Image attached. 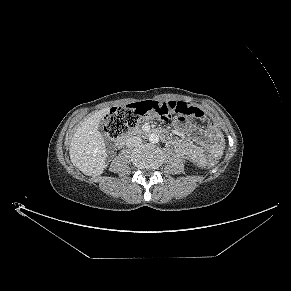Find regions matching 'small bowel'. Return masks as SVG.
I'll return each mask as SVG.
<instances>
[{
	"instance_id": "obj_1",
	"label": "small bowel",
	"mask_w": 291,
	"mask_h": 291,
	"mask_svg": "<svg viewBox=\"0 0 291 291\" xmlns=\"http://www.w3.org/2000/svg\"><path fill=\"white\" fill-rule=\"evenodd\" d=\"M175 131L182 137L174 142L177 153L193 164L204 167L207 164L206 151L210 158H219L223 152V137L218 128L209 125L196 137V142L187 141L184 136L188 133L190 126L188 122L179 118L174 121Z\"/></svg>"
}]
</instances>
